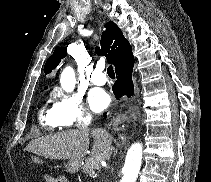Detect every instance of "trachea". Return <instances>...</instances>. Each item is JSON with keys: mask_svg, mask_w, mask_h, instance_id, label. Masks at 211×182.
Segmentation results:
<instances>
[{"mask_svg": "<svg viewBox=\"0 0 211 182\" xmlns=\"http://www.w3.org/2000/svg\"><path fill=\"white\" fill-rule=\"evenodd\" d=\"M107 74L110 76V77H115V73H114V69H113V66L112 65H109L108 68H107Z\"/></svg>", "mask_w": 211, "mask_h": 182, "instance_id": "1", "label": "trachea"}]
</instances>
